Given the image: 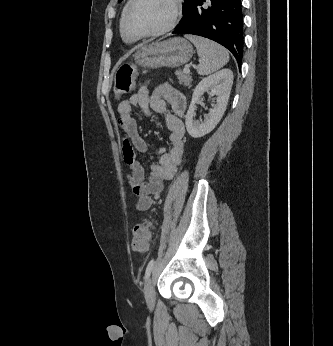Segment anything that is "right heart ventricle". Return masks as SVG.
Masks as SVG:
<instances>
[{"instance_id": "e07e8e85", "label": "right heart ventricle", "mask_w": 333, "mask_h": 346, "mask_svg": "<svg viewBox=\"0 0 333 346\" xmlns=\"http://www.w3.org/2000/svg\"><path fill=\"white\" fill-rule=\"evenodd\" d=\"M131 0H128L126 2V4L124 5L123 9H122V12H121V16H120V20H119V31H120V34H121V37L124 41L126 42H131L133 39H129L127 38L124 33H123V29H122V22H123V18H124V15L126 13V10L130 4Z\"/></svg>"}]
</instances>
